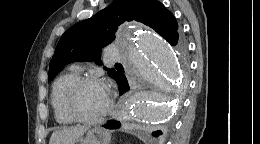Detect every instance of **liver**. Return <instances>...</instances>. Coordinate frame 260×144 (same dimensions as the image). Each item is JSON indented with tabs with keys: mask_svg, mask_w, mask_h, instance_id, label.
Segmentation results:
<instances>
[{
	"mask_svg": "<svg viewBox=\"0 0 260 144\" xmlns=\"http://www.w3.org/2000/svg\"><path fill=\"white\" fill-rule=\"evenodd\" d=\"M88 127H63L52 133L49 144H71L74 140L82 137Z\"/></svg>",
	"mask_w": 260,
	"mask_h": 144,
	"instance_id": "6515ba94",
	"label": "liver"
}]
</instances>
